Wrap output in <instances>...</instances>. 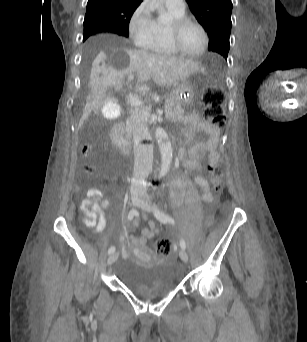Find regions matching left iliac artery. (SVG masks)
<instances>
[{
    "label": "left iliac artery",
    "mask_w": 307,
    "mask_h": 342,
    "mask_svg": "<svg viewBox=\"0 0 307 342\" xmlns=\"http://www.w3.org/2000/svg\"><path fill=\"white\" fill-rule=\"evenodd\" d=\"M155 190H156V188H154V191ZM154 215L159 221H161L163 223L175 224V220L171 216H169L163 212L155 210ZM180 247L182 249L186 248V243H185V240L183 238H181V240H180Z\"/></svg>",
    "instance_id": "44dca946"
}]
</instances>
